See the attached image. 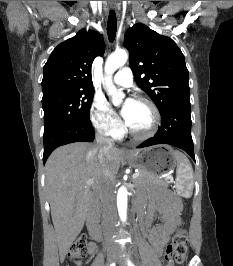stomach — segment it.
I'll use <instances>...</instances> for the list:
<instances>
[{"instance_id": "0dacf381", "label": "stomach", "mask_w": 233, "mask_h": 266, "mask_svg": "<svg viewBox=\"0 0 233 266\" xmlns=\"http://www.w3.org/2000/svg\"><path fill=\"white\" fill-rule=\"evenodd\" d=\"M176 147L153 146L132 151L124 159L129 165L155 176H170V169L177 166L179 156H174Z\"/></svg>"}]
</instances>
